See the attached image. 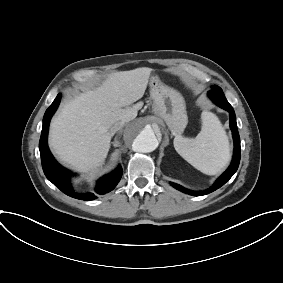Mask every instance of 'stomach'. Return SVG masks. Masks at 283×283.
<instances>
[{
	"label": "stomach",
	"mask_w": 283,
	"mask_h": 283,
	"mask_svg": "<svg viewBox=\"0 0 283 283\" xmlns=\"http://www.w3.org/2000/svg\"><path fill=\"white\" fill-rule=\"evenodd\" d=\"M150 86L153 113L165 121L174 135L181 134L188 123L183 96L173 88L164 85L157 76L151 78Z\"/></svg>",
	"instance_id": "1"
}]
</instances>
